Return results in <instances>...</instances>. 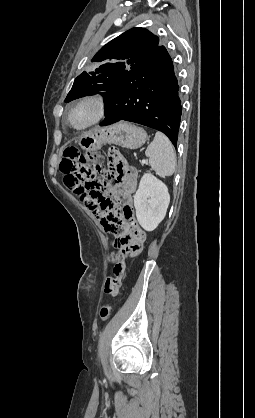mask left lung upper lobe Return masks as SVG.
<instances>
[{
    "label": "left lung upper lobe",
    "instance_id": "1",
    "mask_svg": "<svg viewBox=\"0 0 255 418\" xmlns=\"http://www.w3.org/2000/svg\"><path fill=\"white\" fill-rule=\"evenodd\" d=\"M160 47L159 38L145 28H132L103 46L93 57L96 69L83 72L74 81L65 102L100 93L105 96L133 68Z\"/></svg>",
    "mask_w": 255,
    "mask_h": 418
}]
</instances>
